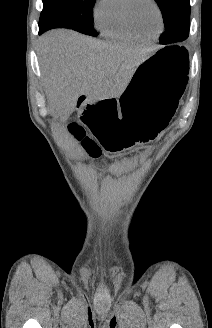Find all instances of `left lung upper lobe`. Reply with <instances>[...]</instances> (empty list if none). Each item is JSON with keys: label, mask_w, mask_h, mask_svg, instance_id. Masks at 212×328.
I'll use <instances>...</instances> for the list:
<instances>
[{"label": "left lung upper lobe", "mask_w": 212, "mask_h": 328, "mask_svg": "<svg viewBox=\"0 0 212 328\" xmlns=\"http://www.w3.org/2000/svg\"><path fill=\"white\" fill-rule=\"evenodd\" d=\"M161 9L166 31L160 43L170 44L187 39L189 35L190 1L155 0Z\"/></svg>", "instance_id": "5c2ea615"}]
</instances>
